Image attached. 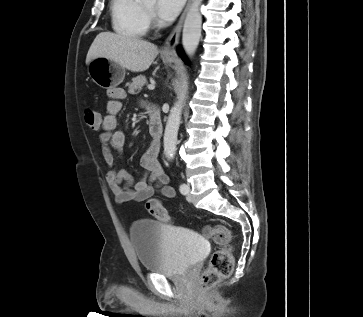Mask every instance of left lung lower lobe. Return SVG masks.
<instances>
[{"label": "left lung lower lobe", "mask_w": 363, "mask_h": 317, "mask_svg": "<svg viewBox=\"0 0 363 317\" xmlns=\"http://www.w3.org/2000/svg\"><path fill=\"white\" fill-rule=\"evenodd\" d=\"M178 53L180 54L181 58L184 60V61H187L184 54H183V51L182 50H178Z\"/></svg>", "instance_id": "left-lung-lower-lobe-1"}]
</instances>
